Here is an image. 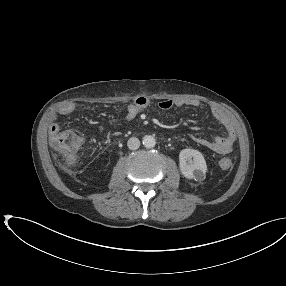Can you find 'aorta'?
<instances>
[{
  "label": "aorta",
  "instance_id": "obj_1",
  "mask_svg": "<svg viewBox=\"0 0 286 286\" xmlns=\"http://www.w3.org/2000/svg\"><path fill=\"white\" fill-rule=\"evenodd\" d=\"M142 143L146 148H153L156 145V140L152 135H146L143 137Z\"/></svg>",
  "mask_w": 286,
  "mask_h": 286
}]
</instances>
